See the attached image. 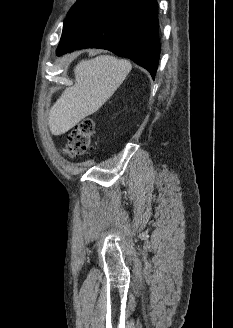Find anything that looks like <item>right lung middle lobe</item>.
<instances>
[{
	"label": "right lung middle lobe",
	"instance_id": "1",
	"mask_svg": "<svg viewBox=\"0 0 233 328\" xmlns=\"http://www.w3.org/2000/svg\"><path fill=\"white\" fill-rule=\"evenodd\" d=\"M92 0H77L74 6L71 8V10L68 13V16L74 13L75 11L83 8L86 6L88 3H90Z\"/></svg>",
	"mask_w": 233,
	"mask_h": 328
}]
</instances>
